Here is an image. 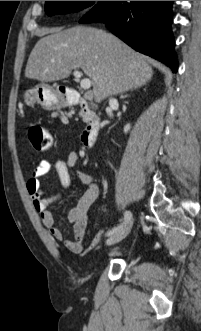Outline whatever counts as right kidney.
Wrapping results in <instances>:
<instances>
[{"instance_id":"1","label":"right kidney","mask_w":201,"mask_h":331,"mask_svg":"<svg viewBox=\"0 0 201 331\" xmlns=\"http://www.w3.org/2000/svg\"><path fill=\"white\" fill-rule=\"evenodd\" d=\"M129 130H130V124H127V125L124 127V132L127 133Z\"/></svg>"}]
</instances>
